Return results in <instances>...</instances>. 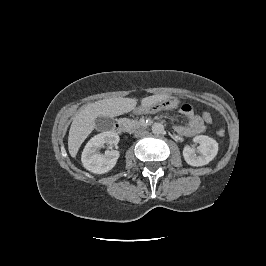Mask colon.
I'll list each match as a JSON object with an SVG mask.
<instances>
[{
  "instance_id": "1",
  "label": "colon",
  "mask_w": 266,
  "mask_h": 266,
  "mask_svg": "<svg viewBox=\"0 0 266 266\" xmlns=\"http://www.w3.org/2000/svg\"><path fill=\"white\" fill-rule=\"evenodd\" d=\"M202 119H203V121L205 123H208V124L212 123V121H213V117H212V115L209 112H204L202 114ZM217 134H218V136L222 137V136L225 135V130L224 129H219L217 131Z\"/></svg>"
}]
</instances>
